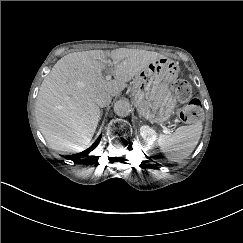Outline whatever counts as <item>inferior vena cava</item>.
<instances>
[{
	"label": "inferior vena cava",
	"instance_id": "1",
	"mask_svg": "<svg viewBox=\"0 0 243 243\" xmlns=\"http://www.w3.org/2000/svg\"><path fill=\"white\" fill-rule=\"evenodd\" d=\"M111 102V97L107 92L98 93L95 98V103L99 107H105Z\"/></svg>",
	"mask_w": 243,
	"mask_h": 243
}]
</instances>
